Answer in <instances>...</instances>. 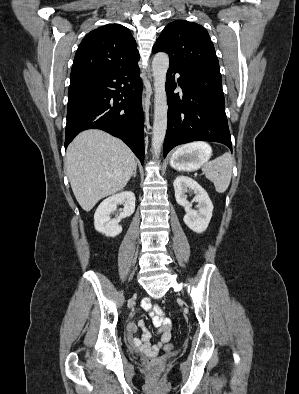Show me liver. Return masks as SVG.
Returning a JSON list of instances; mask_svg holds the SVG:
<instances>
[{
	"mask_svg": "<svg viewBox=\"0 0 299 394\" xmlns=\"http://www.w3.org/2000/svg\"><path fill=\"white\" fill-rule=\"evenodd\" d=\"M66 165L73 193L87 212L100 199L121 191L137 167L125 143L95 129L83 131L70 143Z\"/></svg>",
	"mask_w": 299,
	"mask_h": 394,
	"instance_id": "liver-1",
	"label": "liver"
}]
</instances>
